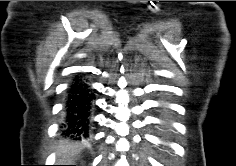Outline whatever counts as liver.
Segmentation results:
<instances>
[{
	"instance_id": "6515ba94",
	"label": "liver",
	"mask_w": 236,
	"mask_h": 166,
	"mask_svg": "<svg viewBox=\"0 0 236 166\" xmlns=\"http://www.w3.org/2000/svg\"><path fill=\"white\" fill-rule=\"evenodd\" d=\"M59 163H72L73 157L80 152L78 145L73 143H64L56 148Z\"/></svg>"
}]
</instances>
